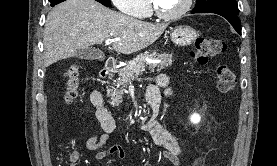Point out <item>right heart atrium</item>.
Here are the masks:
<instances>
[{
	"label": "right heart atrium",
	"mask_w": 277,
	"mask_h": 166,
	"mask_svg": "<svg viewBox=\"0 0 277 166\" xmlns=\"http://www.w3.org/2000/svg\"><path fill=\"white\" fill-rule=\"evenodd\" d=\"M122 13L130 16H140L148 7V0H111Z\"/></svg>",
	"instance_id": "d8ad5b80"
}]
</instances>
